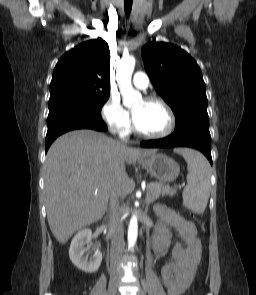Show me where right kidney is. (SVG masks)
<instances>
[{"label": "right kidney", "instance_id": "1", "mask_svg": "<svg viewBox=\"0 0 256 295\" xmlns=\"http://www.w3.org/2000/svg\"><path fill=\"white\" fill-rule=\"evenodd\" d=\"M92 231L89 228L80 230L72 239L69 257L72 263L86 273H94L100 267L102 253L97 249L93 256L87 253L90 249Z\"/></svg>", "mask_w": 256, "mask_h": 295}]
</instances>
